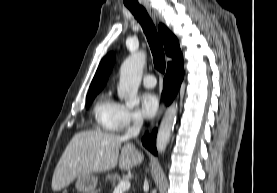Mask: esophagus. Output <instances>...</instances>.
<instances>
[{
  "mask_svg": "<svg viewBox=\"0 0 277 193\" xmlns=\"http://www.w3.org/2000/svg\"><path fill=\"white\" fill-rule=\"evenodd\" d=\"M143 5H144L145 9L147 10V12L150 14V16H151L154 20H156L157 14H156V11L152 8L151 4L148 3V2H145ZM163 108H164V106L162 105L161 108H160V110H159V112H158V114H157V117H156V119L154 120V122L152 123V125H154V124L159 120V118H160V116H161V114H162Z\"/></svg>",
  "mask_w": 277,
  "mask_h": 193,
  "instance_id": "obj_1",
  "label": "esophagus"
}]
</instances>
